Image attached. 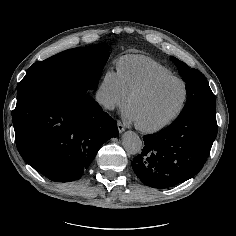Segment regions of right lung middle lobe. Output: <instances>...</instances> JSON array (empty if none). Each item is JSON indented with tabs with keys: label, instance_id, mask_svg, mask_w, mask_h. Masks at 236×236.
I'll return each mask as SVG.
<instances>
[{
	"label": "right lung middle lobe",
	"instance_id": "dd1d6c3e",
	"mask_svg": "<svg viewBox=\"0 0 236 236\" xmlns=\"http://www.w3.org/2000/svg\"><path fill=\"white\" fill-rule=\"evenodd\" d=\"M109 49L106 44L78 47L34 63L19 83L17 102L32 94L75 85L85 91L96 89Z\"/></svg>",
	"mask_w": 236,
	"mask_h": 236
}]
</instances>
